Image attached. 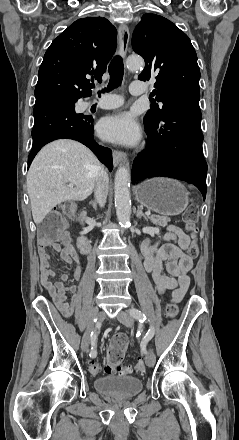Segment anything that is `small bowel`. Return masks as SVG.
Wrapping results in <instances>:
<instances>
[{"label": "small bowel", "instance_id": "obj_1", "mask_svg": "<svg viewBox=\"0 0 239 440\" xmlns=\"http://www.w3.org/2000/svg\"><path fill=\"white\" fill-rule=\"evenodd\" d=\"M191 240L182 229L169 226L161 241L151 243L145 241L141 246L144 257L145 270L151 274L154 286L158 293L172 290V301L180 302L190 284L189 272L193 266V258L187 254ZM49 249L59 253L63 261L73 267L71 274H63L59 281L53 282L54 270L50 265ZM39 259L41 268V283L52 297L60 312L69 317L73 314L77 299L76 285L68 284L80 276V262L75 249L70 245L52 243L47 247L39 246ZM163 265L169 275L162 273ZM72 294L68 300L67 295Z\"/></svg>", "mask_w": 239, "mask_h": 440}]
</instances>
